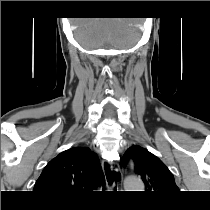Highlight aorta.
Listing matches in <instances>:
<instances>
[{
	"label": "aorta",
	"instance_id": "762f6f07",
	"mask_svg": "<svg viewBox=\"0 0 210 210\" xmlns=\"http://www.w3.org/2000/svg\"><path fill=\"white\" fill-rule=\"evenodd\" d=\"M124 185L127 191H143L144 189L143 182L137 177L126 178Z\"/></svg>",
	"mask_w": 210,
	"mask_h": 210
}]
</instances>
